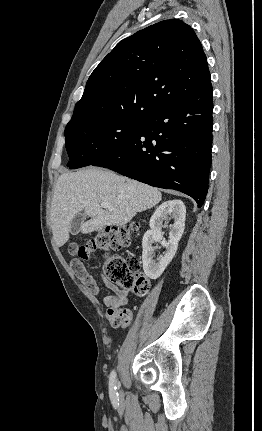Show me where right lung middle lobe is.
<instances>
[{
  "label": "right lung middle lobe",
  "mask_w": 262,
  "mask_h": 431,
  "mask_svg": "<svg viewBox=\"0 0 262 431\" xmlns=\"http://www.w3.org/2000/svg\"><path fill=\"white\" fill-rule=\"evenodd\" d=\"M144 118H110L76 123L65 128L67 166L76 169L105 158L131 139Z\"/></svg>",
  "instance_id": "obj_1"
}]
</instances>
